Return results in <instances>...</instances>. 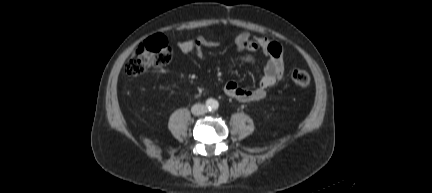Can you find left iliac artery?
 Listing matches in <instances>:
<instances>
[{
    "label": "left iliac artery",
    "mask_w": 432,
    "mask_h": 193,
    "mask_svg": "<svg viewBox=\"0 0 432 193\" xmlns=\"http://www.w3.org/2000/svg\"><path fill=\"white\" fill-rule=\"evenodd\" d=\"M218 106H219L218 102H214L213 107H212L213 110H216L218 108Z\"/></svg>",
    "instance_id": "obj_1"
}]
</instances>
